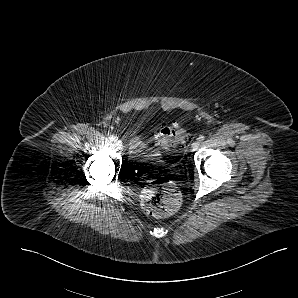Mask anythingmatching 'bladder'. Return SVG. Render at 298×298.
<instances>
[{
	"mask_svg": "<svg viewBox=\"0 0 298 298\" xmlns=\"http://www.w3.org/2000/svg\"><path fill=\"white\" fill-rule=\"evenodd\" d=\"M129 152L132 158L141 161H154L161 155L160 151L151 146L139 129L132 132L129 141Z\"/></svg>",
	"mask_w": 298,
	"mask_h": 298,
	"instance_id": "obj_1",
	"label": "bladder"
}]
</instances>
